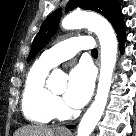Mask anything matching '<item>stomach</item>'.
I'll list each match as a JSON object with an SVG mask.
<instances>
[{
  "label": "stomach",
  "instance_id": "obj_1",
  "mask_svg": "<svg viewBox=\"0 0 136 136\" xmlns=\"http://www.w3.org/2000/svg\"><path fill=\"white\" fill-rule=\"evenodd\" d=\"M57 136H69L67 133H58Z\"/></svg>",
  "mask_w": 136,
  "mask_h": 136
}]
</instances>
